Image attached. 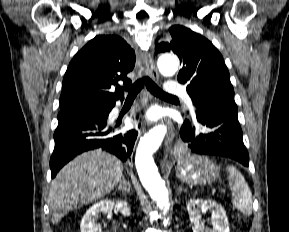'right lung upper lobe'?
Returning <instances> with one entry per match:
<instances>
[{"label":"right lung upper lobe","instance_id":"1","mask_svg":"<svg viewBox=\"0 0 289 232\" xmlns=\"http://www.w3.org/2000/svg\"><path fill=\"white\" fill-rule=\"evenodd\" d=\"M135 65V52L116 34L98 35L72 59L65 73L60 97L62 110L114 107L123 100L118 81L131 84L126 77ZM115 88L114 92L110 90Z\"/></svg>","mask_w":289,"mask_h":232}]
</instances>
